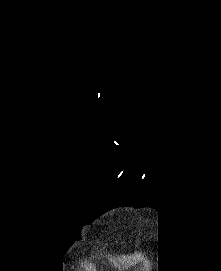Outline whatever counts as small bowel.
I'll return each mask as SVG.
<instances>
[{
  "mask_svg": "<svg viewBox=\"0 0 221 271\" xmlns=\"http://www.w3.org/2000/svg\"><path fill=\"white\" fill-rule=\"evenodd\" d=\"M140 259V254H136L133 256H124L120 258V263L123 265H130Z\"/></svg>",
  "mask_w": 221,
  "mask_h": 271,
  "instance_id": "1",
  "label": "small bowel"
}]
</instances>
